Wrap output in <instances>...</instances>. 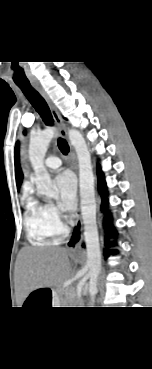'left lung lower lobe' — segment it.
Returning a JSON list of instances; mask_svg holds the SVG:
<instances>
[{
  "instance_id": "1",
  "label": "left lung lower lobe",
  "mask_w": 152,
  "mask_h": 369,
  "mask_svg": "<svg viewBox=\"0 0 152 369\" xmlns=\"http://www.w3.org/2000/svg\"><path fill=\"white\" fill-rule=\"evenodd\" d=\"M97 173H98V189H99V192L101 193V196L103 198L102 200V209H105L107 207V200L105 199V197L107 196V191H106V182L104 180V175L100 169V167H98L97 169ZM111 224L109 222H106V226H110ZM116 235V232H113L111 235H108L107 237H111V236H115ZM106 245L109 247V246H112L114 245L113 243H109L107 242ZM110 253H114L113 251H110V250H106L105 251V256H109Z\"/></svg>"
}]
</instances>
